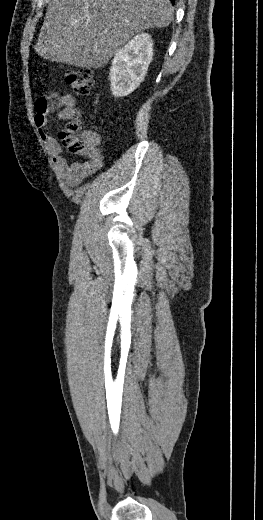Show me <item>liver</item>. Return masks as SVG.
I'll return each instance as SVG.
<instances>
[{"label":"liver","instance_id":"liver-1","mask_svg":"<svg viewBox=\"0 0 263 520\" xmlns=\"http://www.w3.org/2000/svg\"><path fill=\"white\" fill-rule=\"evenodd\" d=\"M169 0H50L36 53L52 62L99 68L135 34L167 27Z\"/></svg>","mask_w":263,"mask_h":520}]
</instances>
